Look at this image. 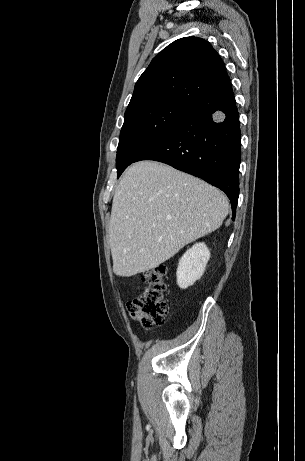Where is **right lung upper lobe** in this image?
<instances>
[{"instance_id":"1","label":"right lung upper lobe","mask_w":305,"mask_h":461,"mask_svg":"<svg viewBox=\"0 0 305 461\" xmlns=\"http://www.w3.org/2000/svg\"><path fill=\"white\" fill-rule=\"evenodd\" d=\"M228 82L224 63L209 42L181 38L153 58L135 84L125 114L163 102L190 106Z\"/></svg>"}]
</instances>
